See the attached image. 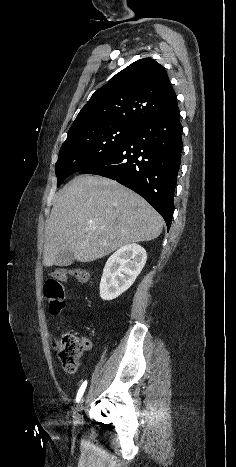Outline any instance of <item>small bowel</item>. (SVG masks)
Masks as SVG:
<instances>
[{
  "label": "small bowel",
  "mask_w": 236,
  "mask_h": 467,
  "mask_svg": "<svg viewBox=\"0 0 236 467\" xmlns=\"http://www.w3.org/2000/svg\"><path fill=\"white\" fill-rule=\"evenodd\" d=\"M90 343L86 340V347H85V350H89L90 349Z\"/></svg>",
  "instance_id": "1"
}]
</instances>
